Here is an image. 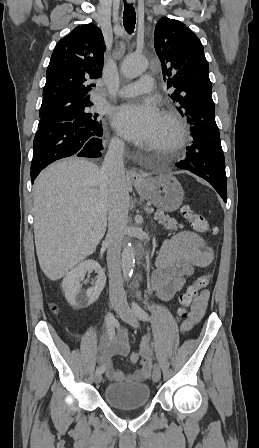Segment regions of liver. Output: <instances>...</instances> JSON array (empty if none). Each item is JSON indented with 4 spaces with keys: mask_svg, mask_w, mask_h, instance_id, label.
Masks as SVG:
<instances>
[{
    "mask_svg": "<svg viewBox=\"0 0 259 448\" xmlns=\"http://www.w3.org/2000/svg\"><path fill=\"white\" fill-rule=\"evenodd\" d=\"M99 172L86 158H64L33 184L35 246L49 280H61L91 256L106 232L108 196Z\"/></svg>",
    "mask_w": 259,
    "mask_h": 448,
    "instance_id": "liver-1",
    "label": "liver"
}]
</instances>
